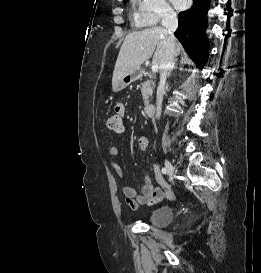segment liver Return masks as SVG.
<instances>
[{
	"instance_id": "6515ba94",
	"label": "liver",
	"mask_w": 261,
	"mask_h": 273,
	"mask_svg": "<svg viewBox=\"0 0 261 273\" xmlns=\"http://www.w3.org/2000/svg\"><path fill=\"white\" fill-rule=\"evenodd\" d=\"M168 33L163 27H152L128 34L120 48L112 77L113 88L126 76L140 69V66L152 56V64L164 61ZM144 48V50H142ZM182 50L175 39V55Z\"/></svg>"
}]
</instances>
